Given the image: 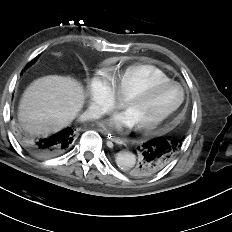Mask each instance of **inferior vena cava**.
Here are the masks:
<instances>
[{
  "mask_svg": "<svg viewBox=\"0 0 232 232\" xmlns=\"http://www.w3.org/2000/svg\"><path fill=\"white\" fill-rule=\"evenodd\" d=\"M88 115L91 118H99L102 115V111L99 106L97 105H92L88 109Z\"/></svg>",
  "mask_w": 232,
  "mask_h": 232,
  "instance_id": "inferior-vena-cava-1",
  "label": "inferior vena cava"
}]
</instances>
